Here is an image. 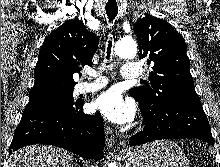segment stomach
Instances as JSON below:
<instances>
[{"label": "stomach", "mask_w": 220, "mask_h": 167, "mask_svg": "<svg viewBox=\"0 0 220 167\" xmlns=\"http://www.w3.org/2000/svg\"><path fill=\"white\" fill-rule=\"evenodd\" d=\"M123 158L126 167H189L182 149L168 140L128 149Z\"/></svg>", "instance_id": "obj_1"}]
</instances>
